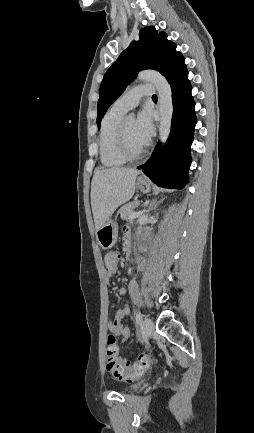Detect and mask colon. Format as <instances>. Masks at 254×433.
Masks as SVG:
<instances>
[{
    "mask_svg": "<svg viewBox=\"0 0 254 433\" xmlns=\"http://www.w3.org/2000/svg\"><path fill=\"white\" fill-rule=\"evenodd\" d=\"M119 260L118 252L108 250L103 254L104 269L107 274H114ZM116 338L110 334L107 338L106 370L115 379L120 381H132L139 378L147 370L150 360L146 354H141L134 362L121 359L118 356Z\"/></svg>",
    "mask_w": 254,
    "mask_h": 433,
    "instance_id": "obj_1",
    "label": "colon"
}]
</instances>
